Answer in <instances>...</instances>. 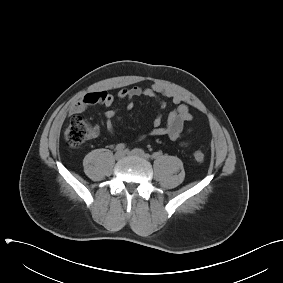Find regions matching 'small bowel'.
<instances>
[{"label": "small bowel", "mask_w": 283, "mask_h": 283, "mask_svg": "<svg viewBox=\"0 0 283 283\" xmlns=\"http://www.w3.org/2000/svg\"><path fill=\"white\" fill-rule=\"evenodd\" d=\"M120 99H127V110H132L134 107L131 99L139 96H146L156 99L160 105L161 110L167 106L163 98L170 99L174 105V109L169 113L166 123L163 124V116L159 113L153 121V129L150 131L151 136H167L173 141H179L183 137V127L186 122L193 119L189 106L184 103L182 97L175 92L164 88L159 84H151L148 87L132 86L129 88H122L117 94ZM114 103V96L106 91H95L86 94L83 98L75 102L69 109V113L79 114L83 112L90 105H104L110 107ZM116 112L108 110L105 113V125L111 135L115 134V127L113 118ZM95 128L92 135L97 133Z\"/></svg>", "instance_id": "obj_1"}]
</instances>
